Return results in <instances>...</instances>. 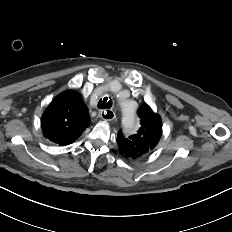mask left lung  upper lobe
Masks as SVG:
<instances>
[{
  "label": "left lung upper lobe",
  "instance_id": "left-lung-upper-lobe-1",
  "mask_svg": "<svg viewBox=\"0 0 232 232\" xmlns=\"http://www.w3.org/2000/svg\"><path fill=\"white\" fill-rule=\"evenodd\" d=\"M137 112L141 124L137 133L125 137L119 131L117 135L120 153L131 160L149 155L158 144L162 135L161 118L147 104H143Z\"/></svg>",
  "mask_w": 232,
  "mask_h": 232
}]
</instances>
